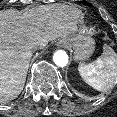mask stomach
I'll use <instances>...</instances> for the list:
<instances>
[{
    "label": "stomach",
    "instance_id": "0dacf381",
    "mask_svg": "<svg viewBox=\"0 0 117 117\" xmlns=\"http://www.w3.org/2000/svg\"><path fill=\"white\" fill-rule=\"evenodd\" d=\"M61 41L74 51V57L78 61L88 58L95 48L94 40L83 33L65 37Z\"/></svg>",
    "mask_w": 117,
    "mask_h": 117
}]
</instances>
